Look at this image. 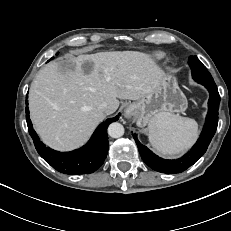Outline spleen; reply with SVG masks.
I'll return each instance as SVG.
<instances>
[{"instance_id": "spleen-1", "label": "spleen", "mask_w": 231, "mask_h": 231, "mask_svg": "<svg viewBox=\"0 0 231 231\" xmlns=\"http://www.w3.org/2000/svg\"><path fill=\"white\" fill-rule=\"evenodd\" d=\"M148 129L151 145L163 155L186 150L198 136L197 122L178 114H161L149 123Z\"/></svg>"}]
</instances>
